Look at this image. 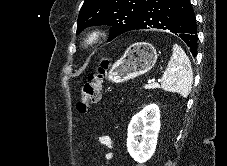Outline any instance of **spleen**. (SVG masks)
I'll return each mask as SVG.
<instances>
[{"mask_svg": "<svg viewBox=\"0 0 227 166\" xmlns=\"http://www.w3.org/2000/svg\"><path fill=\"white\" fill-rule=\"evenodd\" d=\"M193 72L191 63L183 51L177 45H173V54L161 79V87L168 92H175L186 98L192 88Z\"/></svg>", "mask_w": 227, "mask_h": 166, "instance_id": "spleen-1", "label": "spleen"}]
</instances>
